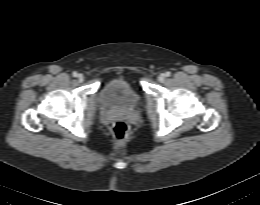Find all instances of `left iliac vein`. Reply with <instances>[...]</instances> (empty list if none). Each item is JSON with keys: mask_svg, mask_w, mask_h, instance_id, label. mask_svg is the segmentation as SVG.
Here are the masks:
<instances>
[{"mask_svg": "<svg viewBox=\"0 0 260 205\" xmlns=\"http://www.w3.org/2000/svg\"><path fill=\"white\" fill-rule=\"evenodd\" d=\"M165 80V75L164 74H160L159 76H158V81L159 82H163Z\"/></svg>", "mask_w": 260, "mask_h": 205, "instance_id": "1", "label": "left iliac vein"}]
</instances>
